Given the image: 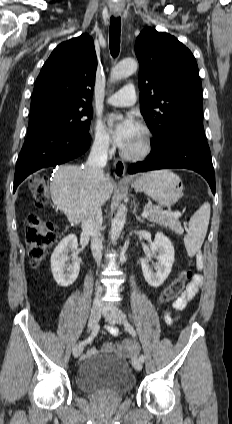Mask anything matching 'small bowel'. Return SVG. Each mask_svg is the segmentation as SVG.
Here are the masks:
<instances>
[{
  "mask_svg": "<svg viewBox=\"0 0 232 424\" xmlns=\"http://www.w3.org/2000/svg\"><path fill=\"white\" fill-rule=\"evenodd\" d=\"M201 283H202L201 275L200 274L195 275L192 282L189 284V286L186 290V293L174 303V307L178 310L184 309L187 301L190 300L191 298H193L198 293V290H199ZM165 322L166 323L171 322L168 315L165 316ZM104 333L106 335H116L117 329L113 326H107L105 328ZM99 352H102V353H119V354L125 355V356H134L137 352V345L134 343L133 348L123 349V348H119V343L106 341L102 344L100 350L95 348V347L89 348L86 352V355L87 356H94V355L98 354Z\"/></svg>",
  "mask_w": 232,
  "mask_h": 424,
  "instance_id": "1",
  "label": "small bowel"
}]
</instances>
